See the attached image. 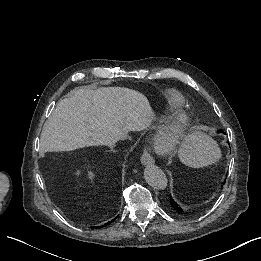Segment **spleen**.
Instances as JSON below:
<instances>
[{"label":"spleen","instance_id":"obj_1","mask_svg":"<svg viewBox=\"0 0 261 261\" xmlns=\"http://www.w3.org/2000/svg\"><path fill=\"white\" fill-rule=\"evenodd\" d=\"M179 154L181 160L193 168L211 165L221 156L215 141L203 134L186 136L182 141Z\"/></svg>","mask_w":261,"mask_h":261}]
</instances>
